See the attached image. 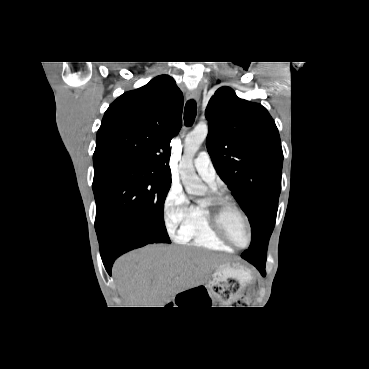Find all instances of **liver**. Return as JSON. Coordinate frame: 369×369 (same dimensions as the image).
I'll list each match as a JSON object with an SVG mask.
<instances>
[{"label":"liver","mask_w":369,"mask_h":369,"mask_svg":"<svg viewBox=\"0 0 369 369\" xmlns=\"http://www.w3.org/2000/svg\"><path fill=\"white\" fill-rule=\"evenodd\" d=\"M224 260L197 248L154 244L119 258L113 277L127 307H165L178 293L202 284Z\"/></svg>","instance_id":"liver-1"}]
</instances>
